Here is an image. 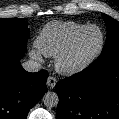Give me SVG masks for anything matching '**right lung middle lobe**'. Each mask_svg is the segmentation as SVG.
Wrapping results in <instances>:
<instances>
[{
    "label": "right lung middle lobe",
    "mask_w": 119,
    "mask_h": 119,
    "mask_svg": "<svg viewBox=\"0 0 119 119\" xmlns=\"http://www.w3.org/2000/svg\"><path fill=\"white\" fill-rule=\"evenodd\" d=\"M28 23L20 18L0 19V47L26 52Z\"/></svg>",
    "instance_id": "dd1d6c3e"
}]
</instances>
